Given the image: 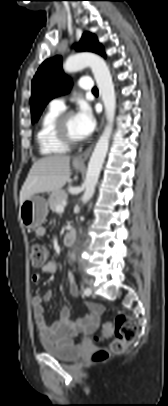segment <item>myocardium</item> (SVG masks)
Here are the masks:
<instances>
[{
	"label": "myocardium",
	"instance_id": "obj_1",
	"mask_svg": "<svg viewBox=\"0 0 168 406\" xmlns=\"http://www.w3.org/2000/svg\"><path fill=\"white\" fill-rule=\"evenodd\" d=\"M74 115L73 111H63L56 119L54 124V132L56 138L67 146H74L81 143V139L71 137L66 129L67 119Z\"/></svg>",
	"mask_w": 168,
	"mask_h": 406
}]
</instances>
